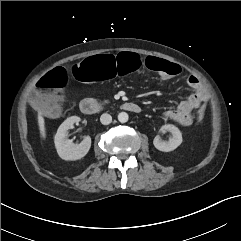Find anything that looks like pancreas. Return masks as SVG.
I'll list each match as a JSON object with an SVG mask.
<instances>
[{
  "mask_svg": "<svg viewBox=\"0 0 241 241\" xmlns=\"http://www.w3.org/2000/svg\"><path fill=\"white\" fill-rule=\"evenodd\" d=\"M105 103H109V101H108V100H105Z\"/></svg>",
  "mask_w": 241,
  "mask_h": 241,
  "instance_id": "pancreas-1",
  "label": "pancreas"
}]
</instances>
